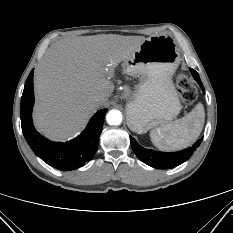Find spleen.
Masks as SVG:
<instances>
[{
  "mask_svg": "<svg viewBox=\"0 0 233 233\" xmlns=\"http://www.w3.org/2000/svg\"><path fill=\"white\" fill-rule=\"evenodd\" d=\"M204 120V107L201 103H198L184 117L152 129L150 131L151 141L155 147L164 151L187 148L199 137Z\"/></svg>",
  "mask_w": 233,
  "mask_h": 233,
  "instance_id": "3e777b00",
  "label": "spleen"
}]
</instances>
